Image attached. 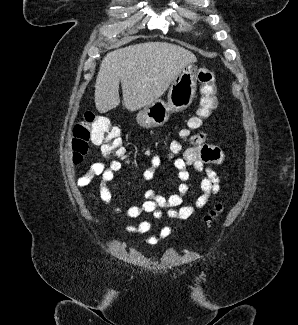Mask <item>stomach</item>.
<instances>
[{"label":"stomach","instance_id":"0dacf381","mask_svg":"<svg viewBox=\"0 0 298 325\" xmlns=\"http://www.w3.org/2000/svg\"><path fill=\"white\" fill-rule=\"evenodd\" d=\"M197 66L185 64L180 74L172 80L167 92V100H155L137 112L136 120L140 126L154 128L169 120L172 112H181L189 108L197 92Z\"/></svg>","mask_w":298,"mask_h":325}]
</instances>
